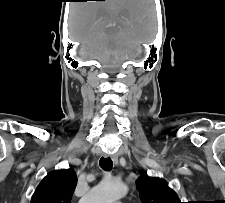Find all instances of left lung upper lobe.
<instances>
[{"label": "left lung upper lobe", "instance_id": "obj_1", "mask_svg": "<svg viewBox=\"0 0 225 203\" xmlns=\"http://www.w3.org/2000/svg\"><path fill=\"white\" fill-rule=\"evenodd\" d=\"M142 203H181L176 193L167 183L158 178H150L143 173L136 181Z\"/></svg>", "mask_w": 225, "mask_h": 203}]
</instances>
